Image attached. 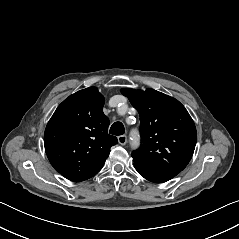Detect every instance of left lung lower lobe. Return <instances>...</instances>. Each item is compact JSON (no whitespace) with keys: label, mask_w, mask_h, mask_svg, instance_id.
I'll list each match as a JSON object with an SVG mask.
<instances>
[{"label":"left lung lower lobe","mask_w":239,"mask_h":239,"mask_svg":"<svg viewBox=\"0 0 239 239\" xmlns=\"http://www.w3.org/2000/svg\"><path fill=\"white\" fill-rule=\"evenodd\" d=\"M136 170L147 180L155 183L166 182L175 177L179 172L177 171H163L148 169L134 165Z\"/></svg>","instance_id":"left-lung-lower-lobe-1"}]
</instances>
